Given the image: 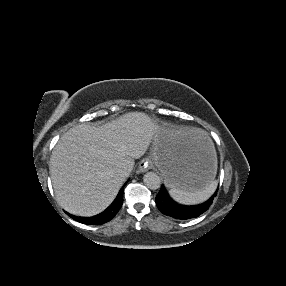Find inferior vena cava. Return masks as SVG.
Masks as SVG:
<instances>
[{"label":"inferior vena cava","mask_w":286,"mask_h":286,"mask_svg":"<svg viewBox=\"0 0 286 286\" xmlns=\"http://www.w3.org/2000/svg\"><path fill=\"white\" fill-rule=\"evenodd\" d=\"M131 172V168L128 165L122 164L116 168V173L121 177H127Z\"/></svg>","instance_id":"602c4592"}]
</instances>
